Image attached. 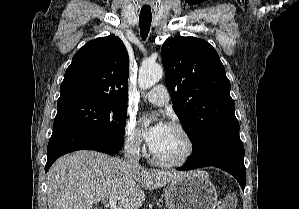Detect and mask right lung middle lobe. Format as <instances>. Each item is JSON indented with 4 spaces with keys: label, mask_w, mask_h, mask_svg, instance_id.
Returning <instances> with one entry per match:
<instances>
[{
    "label": "right lung middle lobe",
    "mask_w": 299,
    "mask_h": 209,
    "mask_svg": "<svg viewBox=\"0 0 299 209\" xmlns=\"http://www.w3.org/2000/svg\"><path fill=\"white\" fill-rule=\"evenodd\" d=\"M127 104L67 102L57 104L54 124H68L93 133L124 137Z\"/></svg>",
    "instance_id": "right-lung-middle-lobe-1"
}]
</instances>
